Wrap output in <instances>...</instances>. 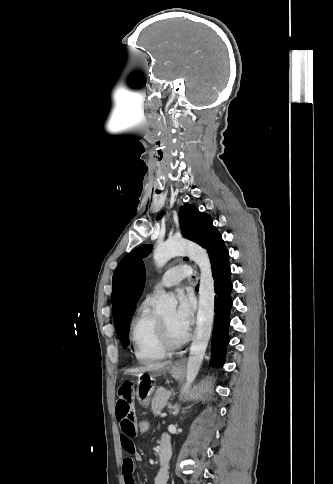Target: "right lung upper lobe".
<instances>
[{
    "mask_svg": "<svg viewBox=\"0 0 333 484\" xmlns=\"http://www.w3.org/2000/svg\"><path fill=\"white\" fill-rule=\"evenodd\" d=\"M145 285V268L142 260L131 264L123 275L117 288L114 304L113 319L117 334L125 321L134 313Z\"/></svg>",
    "mask_w": 333,
    "mask_h": 484,
    "instance_id": "cb5924a9",
    "label": "right lung upper lobe"
}]
</instances>
